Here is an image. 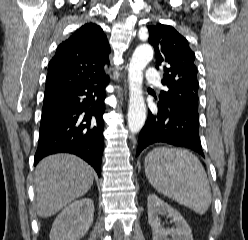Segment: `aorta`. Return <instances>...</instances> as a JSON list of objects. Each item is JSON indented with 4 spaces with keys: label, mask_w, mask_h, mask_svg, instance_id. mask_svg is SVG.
I'll use <instances>...</instances> for the list:
<instances>
[{
    "label": "aorta",
    "mask_w": 248,
    "mask_h": 240,
    "mask_svg": "<svg viewBox=\"0 0 248 240\" xmlns=\"http://www.w3.org/2000/svg\"><path fill=\"white\" fill-rule=\"evenodd\" d=\"M153 53L150 45L143 44L138 46L132 55L128 68V127L133 134L142 129L146 120V105L142 91L143 71L152 60Z\"/></svg>",
    "instance_id": "aorta-1"
}]
</instances>
